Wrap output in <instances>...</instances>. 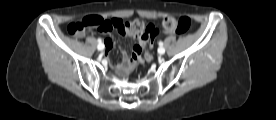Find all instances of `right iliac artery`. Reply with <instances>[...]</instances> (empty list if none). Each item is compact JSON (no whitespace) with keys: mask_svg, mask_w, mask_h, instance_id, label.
<instances>
[{"mask_svg":"<svg viewBox=\"0 0 276 120\" xmlns=\"http://www.w3.org/2000/svg\"><path fill=\"white\" fill-rule=\"evenodd\" d=\"M97 41L99 44H102V40L100 38Z\"/></svg>","mask_w":276,"mask_h":120,"instance_id":"1","label":"right iliac artery"}]
</instances>
